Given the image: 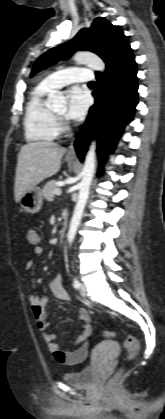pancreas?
I'll return each instance as SVG.
<instances>
[{
	"instance_id": "obj_1",
	"label": "pancreas",
	"mask_w": 165,
	"mask_h": 419,
	"mask_svg": "<svg viewBox=\"0 0 165 419\" xmlns=\"http://www.w3.org/2000/svg\"><path fill=\"white\" fill-rule=\"evenodd\" d=\"M57 185H56V181L55 180H50L48 181L42 190L43 196L48 200V201H52L55 197V190L57 189Z\"/></svg>"
}]
</instances>
